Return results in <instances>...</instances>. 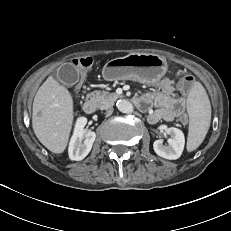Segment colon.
I'll return each instance as SVG.
<instances>
[{
    "label": "colon",
    "mask_w": 231,
    "mask_h": 231,
    "mask_svg": "<svg viewBox=\"0 0 231 231\" xmlns=\"http://www.w3.org/2000/svg\"><path fill=\"white\" fill-rule=\"evenodd\" d=\"M73 64L76 68L80 69L78 79L81 81H85L88 78L87 69L90 68L93 64V58L90 56L79 57L73 60ZM77 84H80V81H77ZM194 78L190 75L184 76L179 83V90L182 93H189L193 87ZM73 95H76V92H73ZM181 123H187V117L182 116L180 118Z\"/></svg>",
    "instance_id": "obj_1"
}]
</instances>
